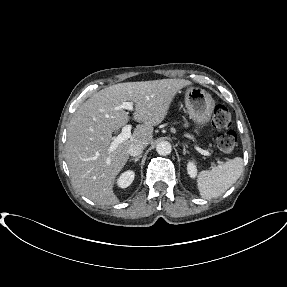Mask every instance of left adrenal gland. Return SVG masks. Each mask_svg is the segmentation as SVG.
<instances>
[{
  "label": "left adrenal gland",
  "mask_w": 287,
  "mask_h": 287,
  "mask_svg": "<svg viewBox=\"0 0 287 287\" xmlns=\"http://www.w3.org/2000/svg\"><path fill=\"white\" fill-rule=\"evenodd\" d=\"M189 152L186 150V147H185V145L183 146V154L184 155H186V154H188Z\"/></svg>",
  "instance_id": "a2214340"
}]
</instances>
